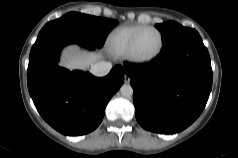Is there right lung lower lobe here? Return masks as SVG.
Instances as JSON below:
<instances>
[{
  "label": "right lung lower lobe",
  "instance_id": "right-lung-lower-lobe-1",
  "mask_svg": "<svg viewBox=\"0 0 238 158\" xmlns=\"http://www.w3.org/2000/svg\"><path fill=\"white\" fill-rule=\"evenodd\" d=\"M71 43L97 47L70 31L54 30L38 36L29 56L27 84L43 119L60 133L74 136L98 127L108 101L124 82V72L117 65L106 77L97 78L59 67L61 50Z\"/></svg>",
  "mask_w": 238,
  "mask_h": 158
}]
</instances>
